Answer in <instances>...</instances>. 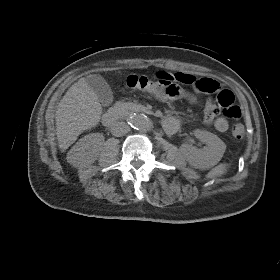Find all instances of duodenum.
Masks as SVG:
<instances>
[{
    "label": "duodenum",
    "mask_w": 280,
    "mask_h": 280,
    "mask_svg": "<svg viewBox=\"0 0 280 280\" xmlns=\"http://www.w3.org/2000/svg\"><path fill=\"white\" fill-rule=\"evenodd\" d=\"M121 111L117 109H111L105 112L102 116V124L104 126H112L116 120L120 117Z\"/></svg>",
    "instance_id": "1"
}]
</instances>
